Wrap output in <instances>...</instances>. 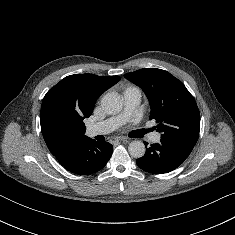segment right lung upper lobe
I'll return each instance as SVG.
<instances>
[{
  "label": "right lung upper lobe",
  "mask_w": 235,
  "mask_h": 235,
  "mask_svg": "<svg viewBox=\"0 0 235 235\" xmlns=\"http://www.w3.org/2000/svg\"><path fill=\"white\" fill-rule=\"evenodd\" d=\"M119 76L75 74L62 79L44 96L40 123L44 140L59 162L65 161L86 137L83 120L98 97L116 84Z\"/></svg>",
  "instance_id": "right-lung-upper-lobe-1"
}]
</instances>
